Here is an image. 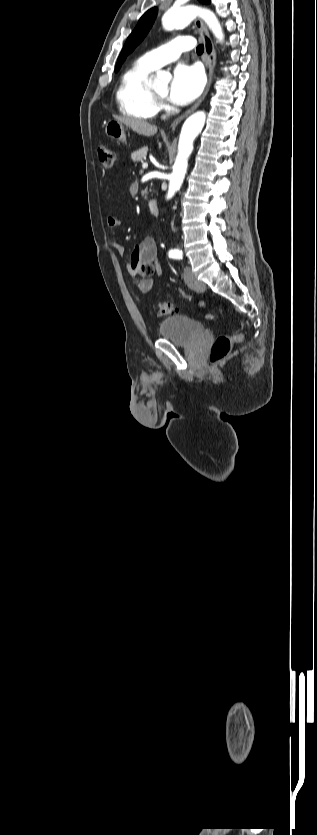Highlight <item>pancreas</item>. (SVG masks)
Returning a JSON list of instances; mask_svg holds the SVG:
<instances>
[{
	"mask_svg": "<svg viewBox=\"0 0 317 835\" xmlns=\"http://www.w3.org/2000/svg\"><path fill=\"white\" fill-rule=\"evenodd\" d=\"M147 151H148V148L143 147L140 150H137V151H135L131 154V159L133 160L135 166L137 165V163H139V162L143 163V161L146 160Z\"/></svg>",
	"mask_w": 317,
	"mask_h": 835,
	"instance_id": "1",
	"label": "pancreas"
}]
</instances>
